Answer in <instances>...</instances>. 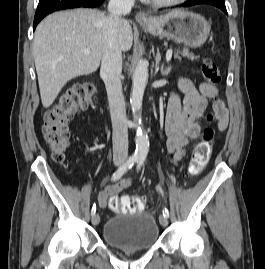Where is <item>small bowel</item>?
Masks as SVG:
<instances>
[{
  "mask_svg": "<svg viewBox=\"0 0 265 269\" xmlns=\"http://www.w3.org/2000/svg\"><path fill=\"white\" fill-rule=\"evenodd\" d=\"M180 93L183 94L182 101ZM216 93V88L206 82L195 85L186 78L178 80V91L170 95L165 121L166 150L174 164L184 158L189 142L197 138L199 134L197 120L207 108L209 99L214 98ZM212 108L218 119L219 130H225L228 124V111L224 102L214 100ZM131 184L130 178H124L106 186L98 195L99 206L104 208L111 196L128 189Z\"/></svg>",
  "mask_w": 265,
  "mask_h": 269,
  "instance_id": "small-bowel-1",
  "label": "small bowel"
}]
</instances>
